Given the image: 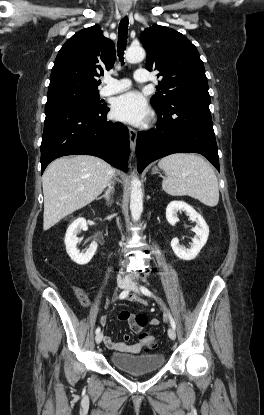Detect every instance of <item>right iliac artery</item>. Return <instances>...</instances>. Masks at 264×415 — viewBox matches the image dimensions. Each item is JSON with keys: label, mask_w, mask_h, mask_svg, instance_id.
<instances>
[{"label": "right iliac artery", "mask_w": 264, "mask_h": 415, "mask_svg": "<svg viewBox=\"0 0 264 415\" xmlns=\"http://www.w3.org/2000/svg\"><path fill=\"white\" fill-rule=\"evenodd\" d=\"M128 294H129V290L126 289V290H124L120 293L119 298L124 299L128 296ZM100 331H101L100 327H97L96 330H95V333L98 334V333H100Z\"/></svg>", "instance_id": "1"}]
</instances>
